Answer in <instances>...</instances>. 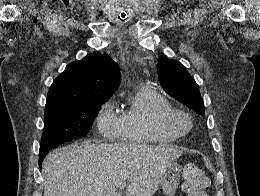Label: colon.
<instances>
[{"instance_id":"5ec220e1","label":"colon","mask_w":260,"mask_h":196,"mask_svg":"<svg viewBox=\"0 0 260 196\" xmlns=\"http://www.w3.org/2000/svg\"><path fill=\"white\" fill-rule=\"evenodd\" d=\"M181 176L188 196H207L210 179L198 166L193 164L185 165Z\"/></svg>"}]
</instances>
